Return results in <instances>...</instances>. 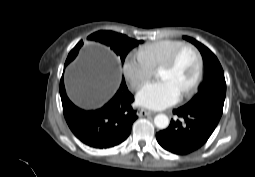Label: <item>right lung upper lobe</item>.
I'll list each match as a JSON object with an SVG mask.
<instances>
[{
	"label": "right lung upper lobe",
	"instance_id": "cb5924a9",
	"mask_svg": "<svg viewBox=\"0 0 255 177\" xmlns=\"http://www.w3.org/2000/svg\"><path fill=\"white\" fill-rule=\"evenodd\" d=\"M79 48V43L71 50V52L69 53V57L67 58V60L66 61H72L73 59H74V56H75V52H76V50ZM72 58V59H71ZM71 59V60H70ZM68 62V63H69ZM67 63V64H68ZM66 64V62H65V66L67 65Z\"/></svg>",
	"mask_w": 255,
	"mask_h": 177
}]
</instances>
